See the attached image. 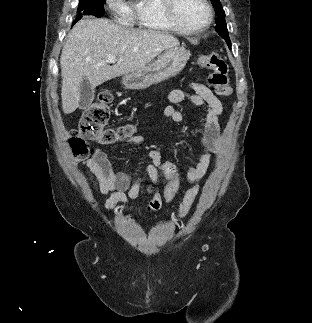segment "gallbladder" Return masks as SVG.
Listing matches in <instances>:
<instances>
[{"instance_id":"bac80fb5","label":"gallbladder","mask_w":312,"mask_h":323,"mask_svg":"<svg viewBox=\"0 0 312 323\" xmlns=\"http://www.w3.org/2000/svg\"><path fill=\"white\" fill-rule=\"evenodd\" d=\"M93 100H94V90H92V86H90L87 80H82V84L80 86V100H79L80 110H84V108H88V106H91Z\"/></svg>"}]
</instances>
